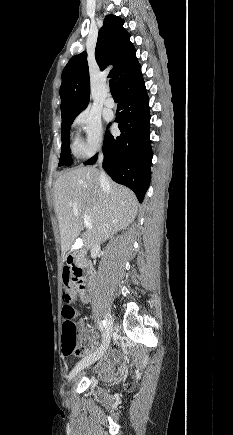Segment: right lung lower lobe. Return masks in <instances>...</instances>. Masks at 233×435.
Wrapping results in <instances>:
<instances>
[{"label":"right lung lower lobe","instance_id":"right-lung-lower-lobe-1","mask_svg":"<svg viewBox=\"0 0 233 435\" xmlns=\"http://www.w3.org/2000/svg\"><path fill=\"white\" fill-rule=\"evenodd\" d=\"M120 101L115 122L119 123V137L108 130L103 144V168L117 183L129 187L142 202L151 179L152 149L149 132V98L142 73L139 72L122 82L119 87ZM96 154L85 165L97 161Z\"/></svg>","mask_w":233,"mask_h":435}]
</instances>
